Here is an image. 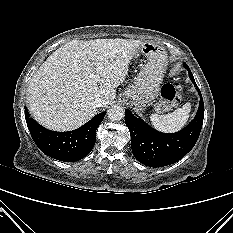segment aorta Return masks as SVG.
<instances>
[{"instance_id":"762f6f07","label":"aorta","mask_w":233,"mask_h":233,"mask_svg":"<svg viewBox=\"0 0 233 233\" xmlns=\"http://www.w3.org/2000/svg\"><path fill=\"white\" fill-rule=\"evenodd\" d=\"M124 109L121 106H112L107 111V117L110 121H120L124 117Z\"/></svg>"}]
</instances>
